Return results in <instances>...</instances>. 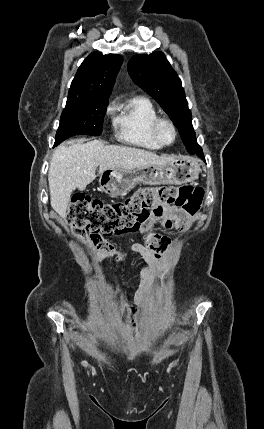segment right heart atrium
<instances>
[{
  "label": "right heart atrium",
  "instance_id": "obj_1",
  "mask_svg": "<svg viewBox=\"0 0 264 429\" xmlns=\"http://www.w3.org/2000/svg\"><path fill=\"white\" fill-rule=\"evenodd\" d=\"M115 102L114 101H111L108 105H107V108H106V112L108 113V114H111L112 112H113V110L115 109Z\"/></svg>",
  "mask_w": 264,
  "mask_h": 429
}]
</instances>
